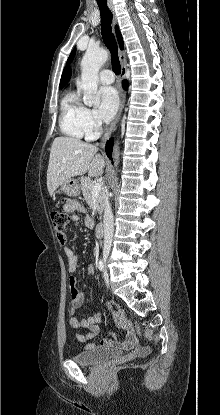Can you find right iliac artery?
I'll list each match as a JSON object with an SVG mask.
<instances>
[{
    "label": "right iliac artery",
    "instance_id": "1",
    "mask_svg": "<svg viewBox=\"0 0 220 415\" xmlns=\"http://www.w3.org/2000/svg\"><path fill=\"white\" fill-rule=\"evenodd\" d=\"M98 268H99L100 271H103L104 270V263H103L102 260L99 261Z\"/></svg>",
    "mask_w": 220,
    "mask_h": 415
}]
</instances>
